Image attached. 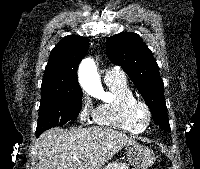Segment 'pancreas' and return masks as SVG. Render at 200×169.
Returning a JSON list of instances; mask_svg holds the SVG:
<instances>
[{
    "label": "pancreas",
    "mask_w": 200,
    "mask_h": 169,
    "mask_svg": "<svg viewBox=\"0 0 200 169\" xmlns=\"http://www.w3.org/2000/svg\"><path fill=\"white\" fill-rule=\"evenodd\" d=\"M104 169H128V167L124 163L112 162L109 163Z\"/></svg>",
    "instance_id": "obj_1"
}]
</instances>
